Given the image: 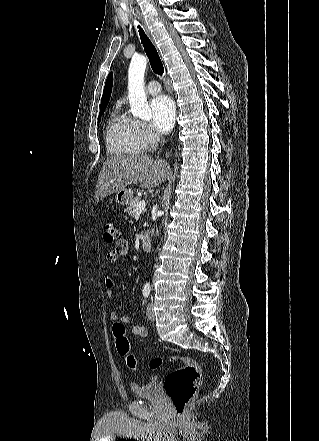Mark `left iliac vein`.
<instances>
[{
	"mask_svg": "<svg viewBox=\"0 0 319 441\" xmlns=\"http://www.w3.org/2000/svg\"><path fill=\"white\" fill-rule=\"evenodd\" d=\"M147 317L149 320L154 321L155 320V314H154V310H153V303L150 302L147 306Z\"/></svg>",
	"mask_w": 319,
	"mask_h": 441,
	"instance_id": "4c4485c4",
	"label": "left iliac vein"
}]
</instances>
